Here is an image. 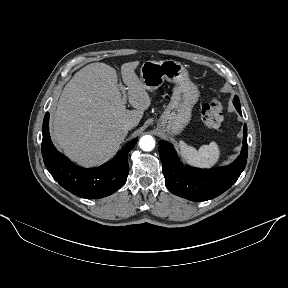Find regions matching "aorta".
<instances>
[{"label": "aorta", "instance_id": "obj_1", "mask_svg": "<svg viewBox=\"0 0 288 288\" xmlns=\"http://www.w3.org/2000/svg\"><path fill=\"white\" fill-rule=\"evenodd\" d=\"M139 146L143 151H151L155 147V140L150 135L142 136L139 141Z\"/></svg>", "mask_w": 288, "mask_h": 288}]
</instances>
